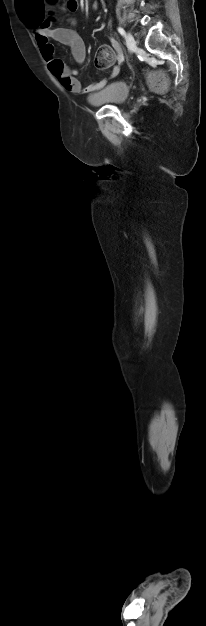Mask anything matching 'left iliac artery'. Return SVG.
I'll return each instance as SVG.
<instances>
[{"label":"left iliac artery","instance_id":"1","mask_svg":"<svg viewBox=\"0 0 206 626\" xmlns=\"http://www.w3.org/2000/svg\"><path fill=\"white\" fill-rule=\"evenodd\" d=\"M118 32H119L122 36H124V35H125V31H124V29H123L122 27H118Z\"/></svg>","mask_w":206,"mask_h":626}]
</instances>
